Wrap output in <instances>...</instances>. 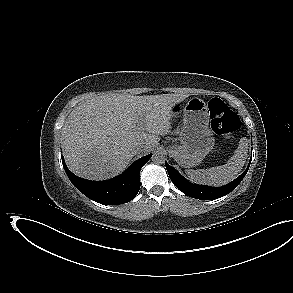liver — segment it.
Wrapping results in <instances>:
<instances>
[{
    "instance_id": "1",
    "label": "liver",
    "mask_w": 293,
    "mask_h": 293,
    "mask_svg": "<svg viewBox=\"0 0 293 293\" xmlns=\"http://www.w3.org/2000/svg\"><path fill=\"white\" fill-rule=\"evenodd\" d=\"M189 94L148 96L105 94L76 107L62 128V147L68 168L89 180L121 173L134 155L147 154L159 135L170 132L172 108ZM143 123L144 131L137 126ZM141 145L142 149L136 151Z\"/></svg>"
}]
</instances>
